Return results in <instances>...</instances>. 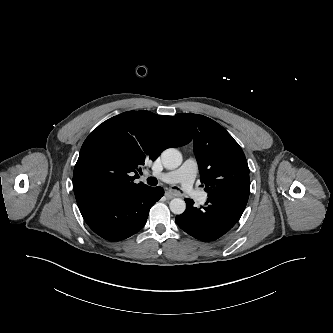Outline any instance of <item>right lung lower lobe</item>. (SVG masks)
<instances>
[{
    "label": "right lung lower lobe",
    "mask_w": 333,
    "mask_h": 333,
    "mask_svg": "<svg viewBox=\"0 0 333 333\" xmlns=\"http://www.w3.org/2000/svg\"><path fill=\"white\" fill-rule=\"evenodd\" d=\"M161 187L147 188L130 197H92L78 202L88 226L109 241H120L145 225L150 208L163 196Z\"/></svg>",
    "instance_id": "obj_1"
}]
</instances>
